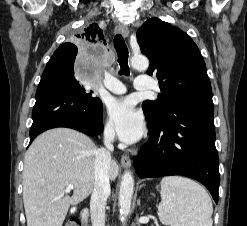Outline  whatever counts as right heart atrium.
Segmentation results:
<instances>
[{
    "instance_id": "d8ad5b80",
    "label": "right heart atrium",
    "mask_w": 247,
    "mask_h": 226,
    "mask_svg": "<svg viewBox=\"0 0 247 226\" xmlns=\"http://www.w3.org/2000/svg\"><path fill=\"white\" fill-rule=\"evenodd\" d=\"M103 133L107 139L114 138V128L110 121H105V123L103 124Z\"/></svg>"
}]
</instances>
